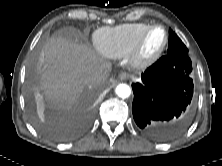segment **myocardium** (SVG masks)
<instances>
[{
    "instance_id": "1",
    "label": "myocardium",
    "mask_w": 222,
    "mask_h": 166,
    "mask_svg": "<svg viewBox=\"0 0 222 166\" xmlns=\"http://www.w3.org/2000/svg\"><path fill=\"white\" fill-rule=\"evenodd\" d=\"M158 28L161 29L164 33V39L161 46L153 54L148 56L143 55L142 47L146 37L152 30ZM168 40H169V35L166 28L163 25L160 24L149 25L141 32V34L139 35L138 39L136 40L135 44L133 45L132 49L128 54L130 64L137 69H143L151 66L162 56L163 52L167 47Z\"/></svg>"
}]
</instances>
